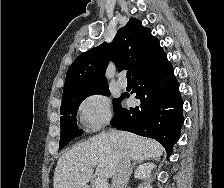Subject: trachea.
<instances>
[{"label": "trachea", "mask_w": 224, "mask_h": 188, "mask_svg": "<svg viewBox=\"0 0 224 188\" xmlns=\"http://www.w3.org/2000/svg\"><path fill=\"white\" fill-rule=\"evenodd\" d=\"M127 79L131 80V72L130 71H127Z\"/></svg>", "instance_id": "obj_1"}]
</instances>
